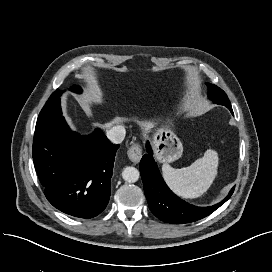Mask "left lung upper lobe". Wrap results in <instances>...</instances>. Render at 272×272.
<instances>
[{"label": "left lung upper lobe", "instance_id": "1", "mask_svg": "<svg viewBox=\"0 0 272 272\" xmlns=\"http://www.w3.org/2000/svg\"><path fill=\"white\" fill-rule=\"evenodd\" d=\"M209 88V99H211L216 104L224 105L227 108H231V103L226 95V93L219 87L213 84H207Z\"/></svg>", "mask_w": 272, "mask_h": 272}]
</instances>
